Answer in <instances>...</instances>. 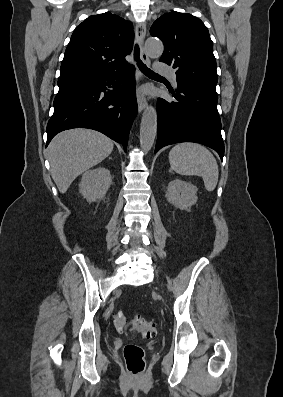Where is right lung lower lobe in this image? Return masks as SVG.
Segmentation results:
<instances>
[{
	"label": "right lung lower lobe",
	"mask_w": 283,
	"mask_h": 397,
	"mask_svg": "<svg viewBox=\"0 0 283 397\" xmlns=\"http://www.w3.org/2000/svg\"><path fill=\"white\" fill-rule=\"evenodd\" d=\"M134 66L87 80L59 85L54 113L47 124V145L59 132L76 127L102 132L127 150L137 115ZM107 87L113 90L106 91ZM46 145V146H47Z\"/></svg>",
	"instance_id": "1"
}]
</instances>
